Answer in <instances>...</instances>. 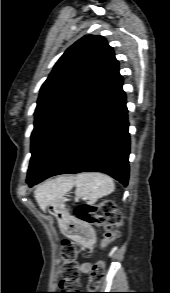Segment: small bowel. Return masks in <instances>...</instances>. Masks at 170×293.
<instances>
[{
  "instance_id": "c3829d8e",
  "label": "small bowel",
  "mask_w": 170,
  "mask_h": 293,
  "mask_svg": "<svg viewBox=\"0 0 170 293\" xmlns=\"http://www.w3.org/2000/svg\"><path fill=\"white\" fill-rule=\"evenodd\" d=\"M81 270L83 271V272H88L89 270H90V265L89 264H83L82 266H81Z\"/></svg>"
}]
</instances>
